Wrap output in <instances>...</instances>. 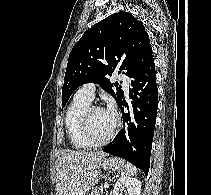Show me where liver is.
Returning <instances> with one entry per match:
<instances>
[{"instance_id": "1", "label": "liver", "mask_w": 211, "mask_h": 195, "mask_svg": "<svg viewBox=\"0 0 211 195\" xmlns=\"http://www.w3.org/2000/svg\"><path fill=\"white\" fill-rule=\"evenodd\" d=\"M107 154L103 152L70 151L57 162V195H82L91 189L87 179Z\"/></svg>"}]
</instances>
